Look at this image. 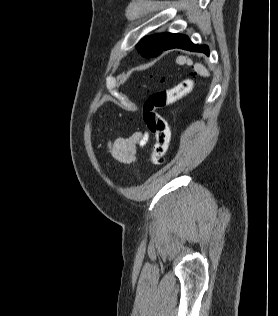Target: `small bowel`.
Masks as SVG:
<instances>
[{"instance_id":"1","label":"small bowel","mask_w":278,"mask_h":316,"mask_svg":"<svg viewBox=\"0 0 278 316\" xmlns=\"http://www.w3.org/2000/svg\"><path fill=\"white\" fill-rule=\"evenodd\" d=\"M149 140V134L135 131L128 137H117L107 143V153L119 163L131 165L136 162L137 151Z\"/></svg>"}]
</instances>
